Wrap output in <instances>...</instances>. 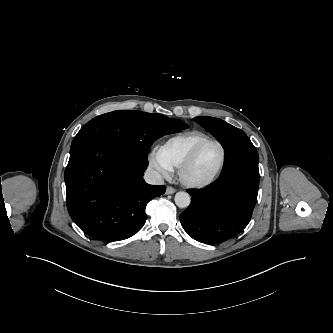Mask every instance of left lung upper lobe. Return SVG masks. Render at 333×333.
<instances>
[{
  "label": "left lung upper lobe",
  "mask_w": 333,
  "mask_h": 333,
  "mask_svg": "<svg viewBox=\"0 0 333 333\" xmlns=\"http://www.w3.org/2000/svg\"><path fill=\"white\" fill-rule=\"evenodd\" d=\"M194 120L212 133L225 149L233 140L246 136V134L226 123L225 121L212 117H195Z\"/></svg>",
  "instance_id": "obj_1"
}]
</instances>
